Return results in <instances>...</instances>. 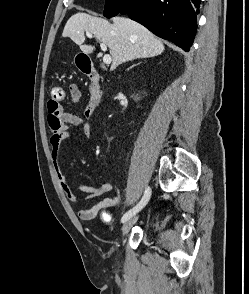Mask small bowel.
<instances>
[{
    "label": "small bowel",
    "instance_id": "c3829d8e",
    "mask_svg": "<svg viewBox=\"0 0 249 294\" xmlns=\"http://www.w3.org/2000/svg\"><path fill=\"white\" fill-rule=\"evenodd\" d=\"M68 90L69 98L67 104L77 103L81 98V91L79 87L76 84L71 83L68 86ZM47 120L52 130V134L49 138V145L53 168L58 183L67 199L73 203H82L109 193L112 190V185L110 183H103L99 186L79 183L77 185V189L84 193V196H79L74 192L70 181L62 171V145L64 140L70 138L72 135L70 128L73 126L79 127L81 134L84 137L89 138L92 133L91 125L84 122L80 116L67 113L63 105H53L50 102L48 103ZM120 203V195L105 197L88 208L78 209L77 215L82 221H92L99 218L100 224L106 227L113 221L112 215L108 212V209L117 207Z\"/></svg>",
    "mask_w": 249,
    "mask_h": 294
}]
</instances>
